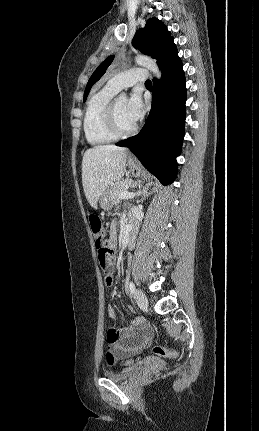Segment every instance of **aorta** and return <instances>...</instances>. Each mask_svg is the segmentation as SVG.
Returning <instances> with one entry per match:
<instances>
[{"mask_svg":"<svg viewBox=\"0 0 259 431\" xmlns=\"http://www.w3.org/2000/svg\"><path fill=\"white\" fill-rule=\"evenodd\" d=\"M135 62L140 65L143 66L145 68H147L148 70H150L158 79H160L161 77V71L159 69V67L157 66V63L155 60H153L152 58H149L147 56L144 55H138L135 57ZM119 99H126V95L124 93H122L120 95Z\"/></svg>","mask_w":259,"mask_h":431,"instance_id":"1","label":"aorta"}]
</instances>
